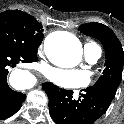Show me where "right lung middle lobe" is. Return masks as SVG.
<instances>
[{
    "mask_svg": "<svg viewBox=\"0 0 124 124\" xmlns=\"http://www.w3.org/2000/svg\"><path fill=\"white\" fill-rule=\"evenodd\" d=\"M42 40V25L33 16L19 10L0 13V47L34 56Z\"/></svg>",
    "mask_w": 124,
    "mask_h": 124,
    "instance_id": "right-lung-middle-lobe-1",
    "label": "right lung middle lobe"
}]
</instances>
